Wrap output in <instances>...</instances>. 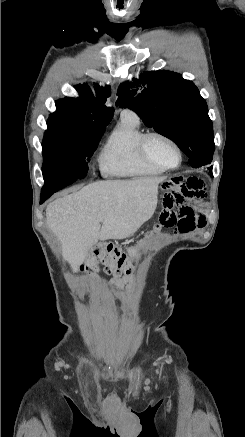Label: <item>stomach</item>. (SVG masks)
I'll return each instance as SVG.
<instances>
[{"label":"stomach","instance_id":"obj_1","mask_svg":"<svg viewBox=\"0 0 245 437\" xmlns=\"http://www.w3.org/2000/svg\"><path fill=\"white\" fill-rule=\"evenodd\" d=\"M180 183V179L178 176L176 177H169V178H165L159 186V191L162 194L167 193L168 191L172 190L173 188H175L177 186V184Z\"/></svg>","mask_w":245,"mask_h":437}]
</instances>
